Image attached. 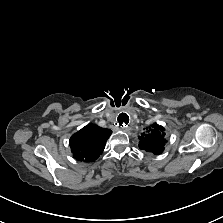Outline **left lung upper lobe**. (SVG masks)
<instances>
[{
	"instance_id": "obj_1",
	"label": "left lung upper lobe",
	"mask_w": 223,
	"mask_h": 223,
	"mask_svg": "<svg viewBox=\"0 0 223 223\" xmlns=\"http://www.w3.org/2000/svg\"><path fill=\"white\" fill-rule=\"evenodd\" d=\"M164 128L153 124L146 128L145 132L138 136L139 148L147 152L159 155L163 152L166 144Z\"/></svg>"
}]
</instances>
